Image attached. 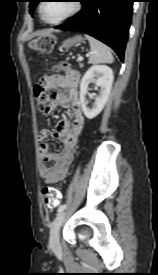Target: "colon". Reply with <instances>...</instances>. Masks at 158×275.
Instances as JSON below:
<instances>
[{
	"mask_svg": "<svg viewBox=\"0 0 158 275\" xmlns=\"http://www.w3.org/2000/svg\"><path fill=\"white\" fill-rule=\"evenodd\" d=\"M30 49L35 52H51L55 46V37L52 34H44L32 40L29 44ZM66 63L56 66V69L66 67ZM37 108L42 114L50 113L55 95L47 90L43 83H39L34 89ZM44 205L48 208H55L61 202L60 192L52 186H44L41 191Z\"/></svg>",
	"mask_w": 158,
	"mask_h": 275,
	"instance_id": "5ec220e1",
	"label": "colon"
}]
</instances>
